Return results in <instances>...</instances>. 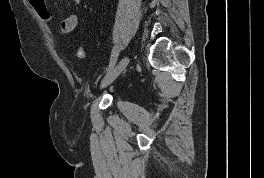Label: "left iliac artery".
Segmentation results:
<instances>
[{"mask_svg":"<svg viewBox=\"0 0 264 178\" xmlns=\"http://www.w3.org/2000/svg\"><path fill=\"white\" fill-rule=\"evenodd\" d=\"M118 55H119V48L116 46L112 50L108 71H110L115 66V63H116L117 58H118Z\"/></svg>","mask_w":264,"mask_h":178,"instance_id":"44dca946","label":"left iliac artery"}]
</instances>
